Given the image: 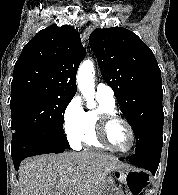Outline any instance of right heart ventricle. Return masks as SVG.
Returning <instances> with one entry per match:
<instances>
[{
    "label": "right heart ventricle",
    "mask_w": 178,
    "mask_h": 195,
    "mask_svg": "<svg viewBox=\"0 0 178 195\" xmlns=\"http://www.w3.org/2000/svg\"><path fill=\"white\" fill-rule=\"evenodd\" d=\"M98 108L86 113V131L83 141L89 147L105 148L97 139V117L102 112L115 113V103H110L103 98L97 97Z\"/></svg>",
    "instance_id": "right-heart-ventricle-1"
}]
</instances>
